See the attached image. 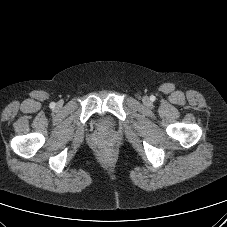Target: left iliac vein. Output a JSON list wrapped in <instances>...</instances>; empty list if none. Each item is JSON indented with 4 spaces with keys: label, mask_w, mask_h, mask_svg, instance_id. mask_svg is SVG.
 <instances>
[{
    "label": "left iliac vein",
    "mask_w": 227,
    "mask_h": 227,
    "mask_svg": "<svg viewBox=\"0 0 227 227\" xmlns=\"http://www.w3.org/2000/svg\"><path fill=\"white\" fill-rule=\"evenodd\" d=\"M149 102H150V101H149V98H148V97H145V98H144V103H145V104H149Z\"/></svg>",
    "instance_id": "4c4485c4"
}]
</instances>
